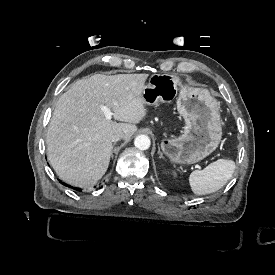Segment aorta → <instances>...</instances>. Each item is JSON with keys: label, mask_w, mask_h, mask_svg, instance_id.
I'll list each match as a JSON object with an SVG mask.
<instances>
[{"label": "aorta", "mask_w": 275, "mask_h": 275, "mask_svg": "<svg viewBox=\"0 0 275 275\" xmlns=\"http://www.w3.org/2000/svg\"><path fill=\"white\" fill-rule=\"evenodd\" d=\"M134 145L139 150H148L151 145V141L147 135H139L134 140Z\"/></svg>", "instance_id": "aorta-1"}]
</instances>
